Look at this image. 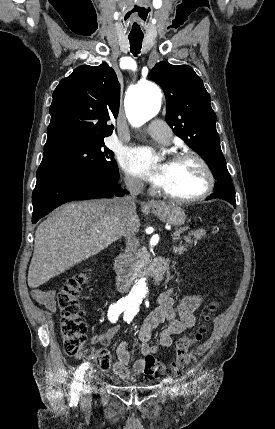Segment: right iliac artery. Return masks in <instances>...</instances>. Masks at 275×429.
I'll list each match as a JSON object with an SVG mask.
<instances>
[{
  "instance_id": "82829eb1",
  "label": "right iliac artery",
  "mask_w": 275,
  "mask_h": 429,
  "mask_svg": "<svg viewBox=\"0 0 275 429\" xmlns=\"http://www.w3.org/2000/svg\"><path fill=\"white\" fill-rule=\"evenodd\" d=\"M126 306L124 303L118 301L115 304L110 305L108 310V319L115 323L118 320L119 315L125 310ZM89 368V363H83L75 373V378L72 384L71 390V402L74 404L79 399V391L82 388L81 382L83 381L84 374Z\"/></svg>"
}]
</instances>
